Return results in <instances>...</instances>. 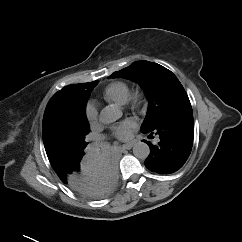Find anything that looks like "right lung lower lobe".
<instances>
[{
	"label": "right lung lower lobe",
	"mask_w": 242,
	"mask_h": 242,
	"mask_svg": "<svg viewBox=\"0 0 242 242\" xmlns=\"http://www.w3.org/2000/svg\"><path fill=\"white\" fill-rule=\"evenodd\" d=\"M54 170L73 191L91 199H101L110 194L118 179L113 155L81 157Z\"/></svg>",
	"instance_id": "obj_1"
}]
</instances>
